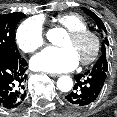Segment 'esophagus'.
Here are the masks:
<instances>
[{
  "mask_svg": "<svg viewBox=\"0 0 117 117\" xmlns=\"http://www.w3.org/2000/svg\"><path fill=\"white\" fill-rule=\"evenodd\" d=\"M49 76L52 78H58V77H60V74L50 73Z\"/></svg>",
  "mask_w": 117,
  "mask_h": 117,
  "instance_id": "1",
  "label": "esophagus"
}]
</instances>
